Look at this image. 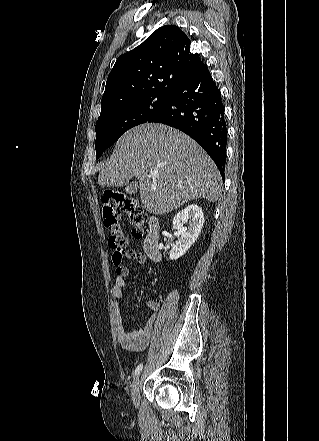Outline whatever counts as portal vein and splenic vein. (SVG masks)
I'll list each match as a JSON object with an SVG mask.
<instances>
[{"label": "portal vein and splenic vein", "instance_id": "18ae733b", "mask_svg": "<svg viewBox=\"0 0 319 441\" xmlns=\"http://www.w3.org/2000/svg\"><path fill=\"white\" fill-rule=\"evenodd\" d=\"M150 176H151L152 178H157V177L159 176V173H158V171H156V170H151V171H150Z\"/></svg>", "mask_w": 319, "mask_h": 441}]
</instances>
